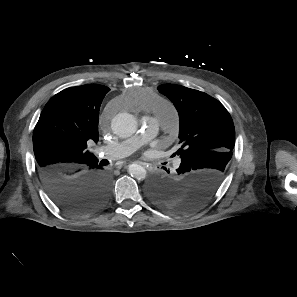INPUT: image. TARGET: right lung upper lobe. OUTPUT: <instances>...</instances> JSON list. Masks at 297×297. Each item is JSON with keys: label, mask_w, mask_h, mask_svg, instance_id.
I'll return each mask as SVG.
<instances>
[{"label": "right lung upper lobe", "mask_w": 297, "mask_h": 297, "mask_svg": "<svg viewBox=\"0 0 297 297\" xmlns=\"http://www.w3.org/2000/svg\"><path fill=\"white\" fill-rule=\"evenodd\" d=\"M106 86L88 84L62 90L44 107L33 132L38 169H77L97 158L85 151L99 140V109Z\"/></svg>", "instance_id": "cb5924a9"}]
</instances>
